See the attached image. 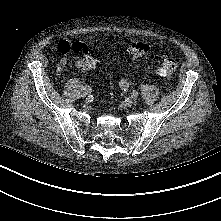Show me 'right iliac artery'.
<instances>
[{
  "mask_svg": "<svg viewBox=\"0 0 221 221\" xmlns=\"http://www.w3.org/2000/svg\"><path fill=\"white\" fill-rule=\"evenodd\" d=\"M84 89H87L91 93V88L90 86H85Z\"/></svg>",
  "mask_w": 221,
  "mask_h": 221,
  "instance_id": "1",
  "label": "right iliac artery"
}]
</instances>
